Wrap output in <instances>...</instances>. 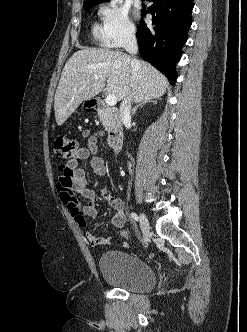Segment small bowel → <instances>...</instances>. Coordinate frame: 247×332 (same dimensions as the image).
Instances as JSON below:
<instances>
[{"instance_id":"small-bowel-1","label":"small bowel","mask_w":247,"mask_h":332,"mask_svg":"<svg viewBox=\"0 0 247 332\" xmlns=\"http://www.w3.org/2000/svg\"><path fill=\"white\" fill-rule=\"evenodd\" d=\"M97 135L89 136L88 146L80 147L75 155L65 164L59 166L61 176L57 183V190L61 201L67 206L75 222L80 227H87L89 219L97 216L96 193L89 188L85 170L79 165L80 161L89 160L93 173L98 176H105L107 168L103 159L97 154ZM75 195H79L86 200L84 204L80 203ZM103 197L108 201L114 211L111 225L119 229L126 222L125 203L120 198H115L109 194L106 189H102ZM86 240L92 247L107 245L109 238L98 237L91 232L86 233Z\"/></svg>"}]
</instances>
